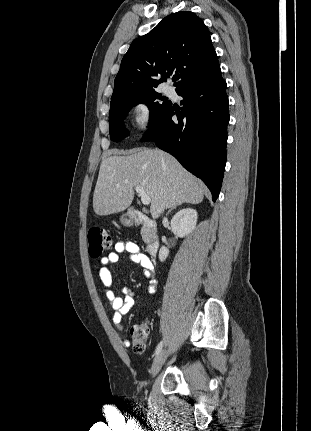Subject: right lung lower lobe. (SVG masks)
I'll use <instances>...</instances> for the list:
<instances>
[{
  "label": "right lung lower lobe",
  "instance_id": "right-lung-lower-lobe-1",
  "mask_svg": "<svg viewBox=\"0 0 311 431\" xmlns=\"http://www.w3.org/2000/svg\"><path fill=\"white\" fill-rule=\"evenodd\" d=\"M176 92L183 97L181 112L171 104L149 123L141 141H154L160 149L172 154L204 181L215 202L226 165L229 122L226 82L219 68L182 85ZM175 114L177 121L171 119Z\"/></svg>",
  "mask_w": 311,
  "mask_h": 431
}]
</instances>
